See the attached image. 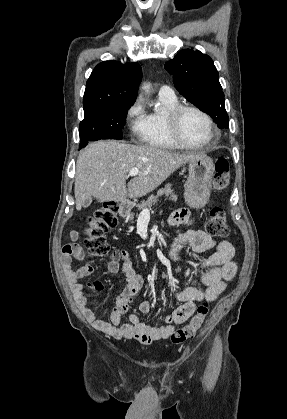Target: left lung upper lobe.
Wrapping results in <instances>:
<instances>
[{
  "label": "left lung upper lobe",
  "instance_id": "5c2ea615",
  "mask_svg": "<svg viewBox=\"0 0 287 419\" xmlns=\"http://www.w3.org/2000/svg\"><path fill=\"white\" fill-rule=\"evenodd\" d=\"M165 69L173 76L176 89L184 97L210 115L219 128H228L224 93L217 69L208 55L198 50H181L165 64Z\"/></svg>",
  "mask_w": 287,
  "mask_h": 419
}]
</instances>
